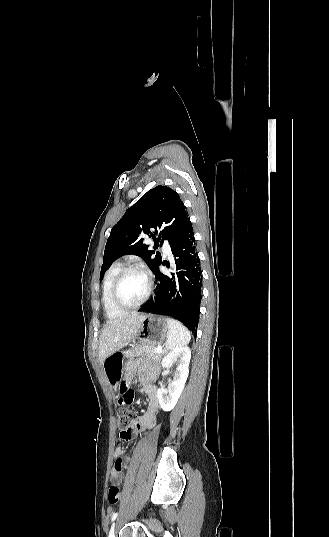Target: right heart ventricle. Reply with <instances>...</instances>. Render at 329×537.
Segmentation results:
<instances>
[{
	"mask_svg": "<svg viewBox=\"0 0 329 537\" xmlns=\"http://www.w3.org/2000/svg\"><path fill=\"white\" fill-rule=\"evenodd\" d=\"M122 268V265L120 262H114L110 268L107 270L104 280L102 283V289H101V302L104 308V311L106 315L109 318H115L120 317L124 314V311L117 308L113 302L111 297V291L113 287L114 279L116 278L118 272Z\"/></svg>",
	"mask_w": 329,
	"mask_h": 537,
	"instance_id": "obj_1",
	"label": "right heart ventricle"
}]
</instances>
